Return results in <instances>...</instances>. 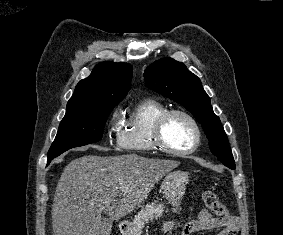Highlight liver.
I'll return each instance as SVG.
<instances>
[{
    "mask_svg": "<svg viewBox=\"0 0 283 235\" xmlns=\"http://www.w3.org/2000/svg\"><path fill=\"white\" fill-rule=\"evenodd\" d=\"M179 165L137 154L85 155L72 160L56 187L53 235H110L113 221L137 209L155 184ZM123 186L128 190L116 199ZM102 212L109 218H102Z\"/></svg>",
    "mask_w": 283,
    "mask_h": 235,
    "instance_id": "obj_1",
    "label": "liver"
}]
</instances>
